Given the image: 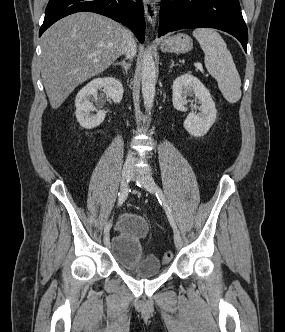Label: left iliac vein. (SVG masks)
I'll use <instances>...</instances> for the list:
<instances>
[{"mask_svg":"<svg viewBox=\"0 0 285 332\" xmlns=\"http://www.w3.org/2000/svg\"><path fill=\"white\" fill-rule=\"evenodd\" d=\"M133 179L137 181L142 187H144L148 192L152 194L156 192L155 181L150 175L147 174H143L140 176L133 175ZM174 243L178 249L181 248L183 244L180 233L177 230H174Z\"/></svg>","mask_w":285,"mask_h":332,"instance_id":"obj_1","label":"left iliac vein"}]
</instances>
